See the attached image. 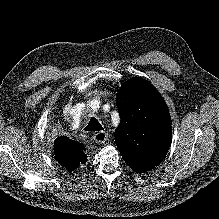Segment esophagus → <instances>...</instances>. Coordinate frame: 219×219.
I'll list each match as a JSON object with an SVG mask.
<instances>
[{"mask_svg": "<svg viewBox=\"0 0 219 219\" xmlns=\"http://www.w3.org/2000/svg\"><path fill=\"white\" fill-rule=\"evenodd\" d=\"M93 138L97 143L103 144L108 139V134L104 131H99L94 134Z\"/></svg>", "mask_w": 219, "mask_h": 219, "instance_id": "1", "label": "esophagus"}]
</instances>
